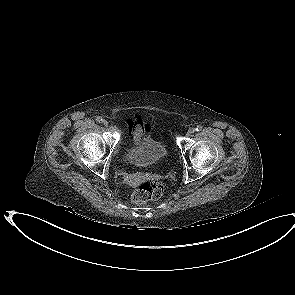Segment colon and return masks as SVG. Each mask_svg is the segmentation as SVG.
Wrapping results in <instances>:
<instances>
[{
	"label": "colon",
	"instance_id": "1",
	"mask_svg": "<svg viewBox=\"0 0 295 295\" xmlns=\"http://www.w3.org/2000/svg\"><path fill=\"white\" fill-rule=\"evenodd\" d=\"M163 192V182L159 179H150L138 185L132 194V201L136 204H143L157 200L162 196Z\"/></svg>",
	"mask_w": 295,
	"mask_h": 295
}]
</instances>
